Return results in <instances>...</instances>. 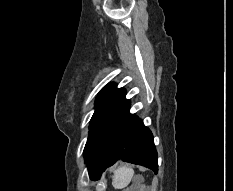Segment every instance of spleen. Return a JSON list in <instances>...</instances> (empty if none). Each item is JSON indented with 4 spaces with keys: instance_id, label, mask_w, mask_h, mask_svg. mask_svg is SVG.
<instances>
[{
    "instance_id": "spleen-1",
    "label": "spleen",
    "mask_w": 233,
    "mask_h": 191,
    "mask_svg": "<svg viewBox=\"0 0 233 191\" xmlns=\"http://www.w3.org/2000/svg\"><path fill=\"white\" fill-rule=\"evenodd\" d=\"M133 173H134L133 170L126 166H121L117 168L114 171V175L112 177L113 187L117 189H123L126 186H128V184L130 183L133 177ZM123 191H128V190H123Z\"/></svg>"
}]
</instances>
